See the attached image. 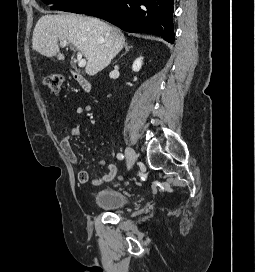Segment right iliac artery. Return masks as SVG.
I'll use <instances>...</instances> for the list:
<instances>
[{
    "label": "right iliac artery",
    "mask_w": 255,
    "mask_h": 272,
    "mask_svg": "<svg viewBox=\"0 0 255 272\" xmlns=\"http://www.w3.org/2000/svg\"><path fill=\"white\" fill-rule=\"evenodd\" d=\"M117 158H118L119 160H123V159H124V155H123L122 153H118V154H117Z\"/></svg>",
    "instance_id": "82829eb1"
}]
</instances>
